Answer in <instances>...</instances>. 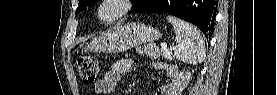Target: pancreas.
<instances>
[{"mask_svg":"<svg viewBox=\"0 0 277 95\" xmlns=\"http://www.w3.org/2000/svg\"><path fill=\"white\" fill-rule=\"evenodd\" d=\"M136 51L141 55H147L154 59H158L160 57L167 59V60L174 59V56L170 52H168L166 50L156 49L153 44H148V45L144 46L143 48L138 47Z\"/></svg>","mask_w":277,"mask_h":95,"instance_id":"1","label":"pancreas"}]
</instances>
